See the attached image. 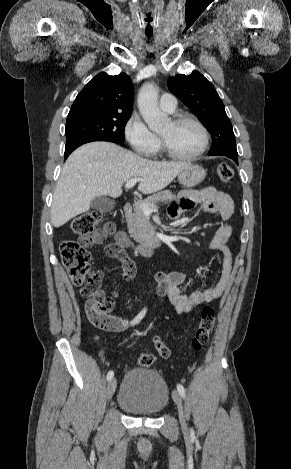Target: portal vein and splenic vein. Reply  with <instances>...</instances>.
Here are the masks:
<instances>
[{
    "instance_id": "18ae733b",
    "label": "portal vein and splenic vein",
    "mask_w": 291,
    "mask_h": 469,
    "mask_svg": "<svg viewBox=\"0 0 291 469\" xmlns=\"http://www.w3.org/2000/svg\"><path fill=\"white\" fill-rule=\"evenodd\" d=\"M141 179L139 178H133V179H130L129 181L126 182L125 184V187L126 188H132L137 182H139ZM157 209L156 206H151V205H147V204H142V211L144 212V214H151L152 212H154L155 210Z\"/></svg>"
}]
</instances>
